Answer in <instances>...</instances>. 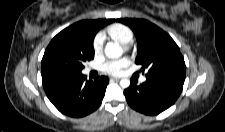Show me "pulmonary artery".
<instances>
[{"instance_id":"e3ab8cb5","label":"pulmonary artery","mask_w":225,"mask_h":132,"mask_svg":"<svg viewBox=\"0 0 225 132\" xmlns=\"http://www.w3.org/2000/svg\"><path fill=\"white\" fill-rule=\"evenodd\" d=\"M87 71H89V69H88ZM140 81H141V82H145V81H146V77H145V76H142V77L140 78Z\"/></svg>"}]
</instances>
